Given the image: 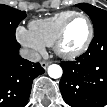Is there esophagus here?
<instances>
[{
  "label": "esophagus",
  "mask_w": 107,
  "mask_h": 107,
  "mask_svg": "<svg viewBox=\"0 0 107 107\" xmlns=\"http://www.w3.org/2000/svg\"><path fill=\"white\" fill-rule=\"evenodd\" d=\"M40 64L42 68L46 69L51 64V61H41Z\"/></svg>",
  "instance_id": "1"
}]
</instances>
